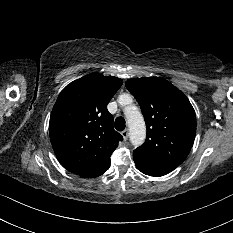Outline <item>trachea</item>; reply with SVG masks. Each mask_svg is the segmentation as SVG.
I'll use <instances>...</instances> for the list:
<instances>
[{
  "label": "trachea",
  "mask_w": 233,
  "mask_h": 233,
  "mask_svg": "<svg viewBox=\"0 0 233 233\" xmlns=\"http://www.w3.org/2000/svg\"><path fill=\"white\" fill-rule=\"evenodd\" d=\"M114 126L118 131H123L125 129V126H126L125 119L123 117H117L115 119Z\"/></svg>",
  "instance_id": "1"
}]
</instances>
